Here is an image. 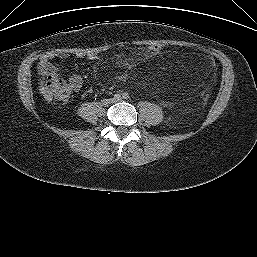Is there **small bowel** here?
I'll list each match as a JSON object with an SVG mask.
<instances>
[{"label":"small bowel","instance_id":"c3829d8e","mask_svg":"<svg viewBox=\"0 0 257 257\" xmlns=\"http://www.w3.org/2000/svg\"><path fill=\"white\" fill-rule=\"evenodd\" d=\"M55 57H56L55 54L48 53V54L43 55L40 58V61L38 63V72L40 73V75H42V76H49L51 74H55L56 67L51 63V60L54 59ZM60 57L64 58L65 56H60ZM88 58L89 59H95L96 55L89 54ZM68 82H69L70 88L73 91L78 92L82 88L83 79H82V77L79 74L72 73L69 76V81Z\"/></svg>","mask_w":257,"mask_h":257}]
</instances>
